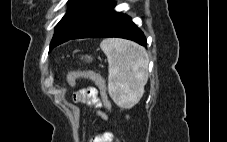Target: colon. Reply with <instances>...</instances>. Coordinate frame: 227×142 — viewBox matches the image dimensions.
<instances>
[{"instance_id": "1", "label": "colon", "mask_w": 227, "mask_h": 142, "mask_svg": "<svg viewBox=\"0 0 227 142\" xmlns=\"http://www.w3.org/2000/svg\"><path fill=\"white\" fill-rule=\"evenodd\" d=\"M80 78H90L93 80L96 85L101 90L102 100L104 105L107 108H110V103L108 100L107 92H106V85L104 80L97 74L91 73V72H82V73H73L68 77V84L69 86L73 87L76 83V81Z\"/></svg>"}]
</instances>
